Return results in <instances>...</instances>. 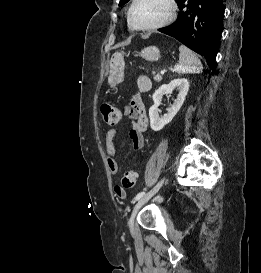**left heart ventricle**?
<instances>
[{
	"label": "left heart ventricle",
	"instance_id": "1",
	"mask_svg": "<svg viewBox=\"0 0 261 273\" xmlns=\"http://www.w3.org/2000/svg\"><path fill=\"white\" fill-rule=\"evenodd\" d=\"M168 13L165 0H138L132 11L136 26H149L163 20Z\"/></svg>",
	"mask_w": 261,
	"mask_h": 273
}]
</instances>
